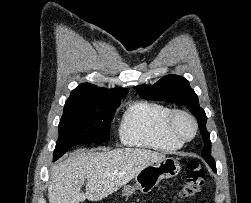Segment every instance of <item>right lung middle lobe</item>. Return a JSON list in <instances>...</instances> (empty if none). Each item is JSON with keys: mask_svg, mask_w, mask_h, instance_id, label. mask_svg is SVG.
Returning a JSON list of instances; mask_svg holds the SVG:
<instances>
[{"mask_svg": "<svg viewBox=\"0 0 251 203\" xmlns=\"http://www.w3.org/2000/svg\"><path fill=\"white\" fill-rule=\"evenodd\" d=\"M119 104L120 102L65 105L58 126L59 138L53 161L75 145L109 141L110 122Z\"/></svg>", "mask_w": 251, "mask_h": 203, "instance_id": "dd1d6c3e", "label": "right lung middle lobe"}]
</instances>
